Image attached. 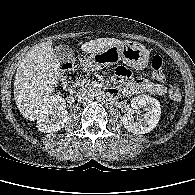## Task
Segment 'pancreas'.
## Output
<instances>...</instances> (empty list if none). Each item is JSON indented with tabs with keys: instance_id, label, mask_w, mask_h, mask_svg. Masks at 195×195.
I'll list each match as a JSON object with an SVG mask.
<instances>
[{
	"instance_id": "1",
	"label": "pancreas",
	"mask_w": 195,
	"mask_h": 195,
	"mask_svg": "<svg viewBox=\"0 0 195 195\" xmlns=\"http://www.w3.org/2000/svg\"><path fill=\"white\" fill-rule=\"evenodd\" d=\"M86 85L88 87H97L99 85V83L95 80H88Z\"/></svg>"
}]
</instances>
